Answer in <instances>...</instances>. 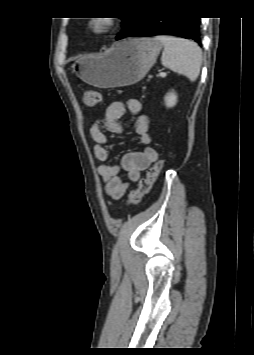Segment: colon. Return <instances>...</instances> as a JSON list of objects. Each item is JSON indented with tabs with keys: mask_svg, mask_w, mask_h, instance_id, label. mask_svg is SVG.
I'll return each mask as SVG.
<instances>
[{
	"mask_svg": "<svg viewBox=\"0 0 254 355\" xmlns=\"http://www.w3.org/2000/svg\"><path fill=\"white\" fill-rule=\"evenodd\" d=\"M101 102V94L93 89H85L82 93V103L88 108L97 106ZM165 160L159 159L148 170L146 177L139 180L137 189L133 190L129 195L127 206H134L142 201V198L147 195L154 182L157 180Z\"/></svg>",
	"mask_w": 254,
	"mask_h": 355,
	"instance_id": "colon-1",
	"label": "colon"
}]
</instances>
